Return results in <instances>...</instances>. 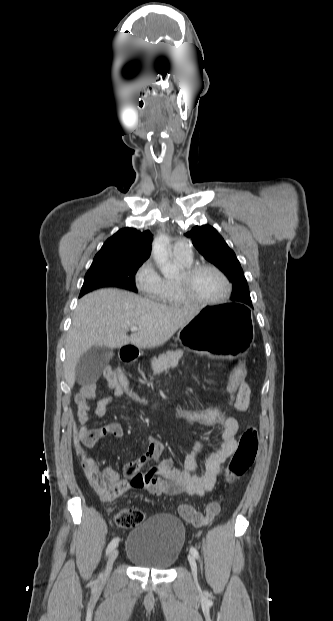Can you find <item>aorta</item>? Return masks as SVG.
Returning <instances> with one entry per match:
<instances>
[{
	"mask_svg": "<svg viewBox=\"0 0 333 621\" xmlns=\"http://www.w3.org/2000/svg\"><path fill=\"white\" fill-rule=\"evenodd\" d=\"M168 243V237L162 234L152 243V255L166 277L177 273V268L169 263Z\"/></svg>",
	"mask_w": 333,
	"mask_h": 621,
	"instance_id": "762f6f07",
	"label": "aorta"
}]
</instances>
